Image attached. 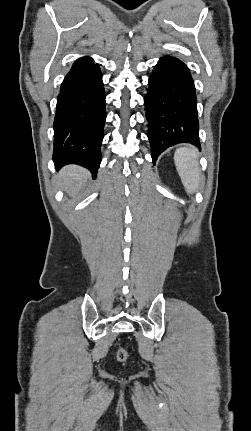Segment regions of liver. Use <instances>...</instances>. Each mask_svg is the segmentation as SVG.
Returning <instances> with one entry per match:
<instances>
[{
	"mask_svg": "<svg viewBox=\"0 0 251 431\" xmlns=\"http://www.w3.org/2000/svg\"><path fill=\"white\" fill-rule=\"evenodd\" d=\"M89 172L77 165H68L58 174V182L62 189L71 196L77 195L86 185Z\"/></svg>",
	"mask_w": 251,
	"mask_h": 431,
	"instance_id": "obj_1",
	"label": "liver"
}]
</instances>
